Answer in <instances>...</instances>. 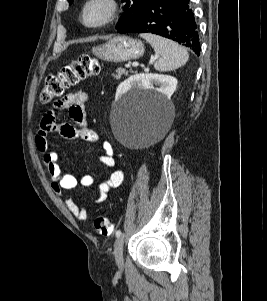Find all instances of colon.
Instances as JSON below:
<instances>
[{
	"label": "colon",
	"instance_id": "colon-1",
	"mask_svg": "<svg viewBox=\"0 0 267 301\" xmlns=\"http://www.w3.org/2000/svg\"><path fill=\"white\" fill-rule=\"evenodd\" d=\"M100 72L101 66L96 58L82 55L69 66H66L58 75H50L46 78L40 100L43 103H48L63 95L68 88L78 84L86 77L98 75ZM94 227L97 233L103 236H109L113 232V224L106 216L96 217Z\"/></svg>",
	"mask_w": 267,
	"mask_h": 301
}]
</instances>
